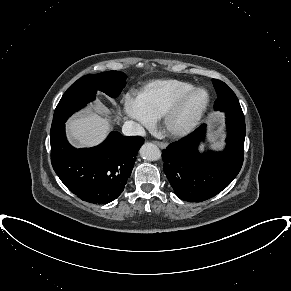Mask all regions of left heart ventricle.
Listing matches in <instances>:
<instances>
[{"label":"left heart ventricle","mask_w":291,"mask_h":291,"mask_svg":"<svg viewBox=\"0 0 291 291\" xmlns=\"http://www.w3.org/2000/svg\"><path fill=\"white\" fill-rule=\"evenodd\" d=\"M206 101V94L203 91L195 92L183 105L173 120L174 127H182L190 122L198 113Z\"/></svg>","instance_id":"left-heart-ventricle-1"}]
</instances>
